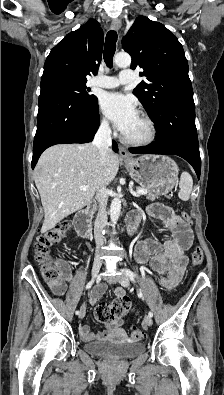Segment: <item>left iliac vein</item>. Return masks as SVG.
<instances>
[{"label": "left iliac vein", "mask_w": 224, "mask_h": 395, "mask_svg": "<svg viewBox=\"0 0 224 395\" xmlns=\"http://www.w3.org/2000/svg\"><path fill=\"white\" fill-rule=\"evenodd\" d=\"M119 282L123 287H128L130 285V279L127 275L121 274L119 277ZM153 324L152 318L149 315L144 317V325L151 326Z\"/></svg>", "instance_id": "4c4485c4"}]
</instances>
